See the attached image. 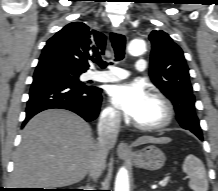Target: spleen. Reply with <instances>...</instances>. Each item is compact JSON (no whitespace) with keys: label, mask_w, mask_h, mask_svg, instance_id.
<instances>
[{"label":"spleen","mask_w":218,"mask_h":191,"mask_svg":"<svg viewBox=\"0 0 218 191\" xmlns=\"http://www.w3.org/2000/svg\"><path fill=\"white\" fill-rule=\"evenodd\" d=\"M183 172L189 175V187L193 191H207L208 181L206 178V170L199 158L190 154L188 155L182 166Z\"/></svg>","instance_id":"obj_1"}]
</instances>
